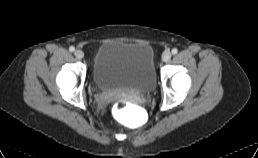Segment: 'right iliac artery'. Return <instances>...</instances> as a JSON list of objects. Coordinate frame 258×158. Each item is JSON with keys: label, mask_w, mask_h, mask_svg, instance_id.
Segmentation results:
<instances>
[{"label": "right iliac artery", "mask_w": 258, "mask_h": 158, "mask_svg": "<svg viewBox=\"0 0 258 158\" xmlns=\"http://www.w3.org/2000/svg\"><path fill=\"white\" fill-rule=\"evenodd\" d=\"M69 51H70V52H74V51H75V48H74L73 46H71V47L69 48Z\"/></svg>", "instance_id": "1"}]
</instances>
